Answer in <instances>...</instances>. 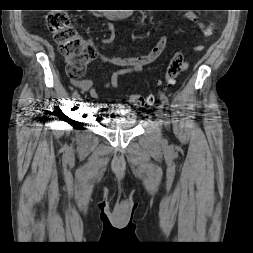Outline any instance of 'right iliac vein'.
I'll list each match as a JSON object with an SVG mask.
<instances>
[{
	"label": "right iliac vein",
	"mask_w": 253,
	"mask_h": 253,
	"mask_svg": "<svg viewBox=\"0 0 253 253\" xmlns=\"http://www.w3.org/2000/svg\"><path fill=\"white\" fill-rule=\"evenodd\" d=\"M82 99H83V96L82 95H79L78 98H77V102L75 104V107L73 109V120H76L77 118V114L80 112L81 110V107L83 105V102H82Z\"/></svg>",
	"instance_id": "right-iliac-vein-1"
}]
</instances>
